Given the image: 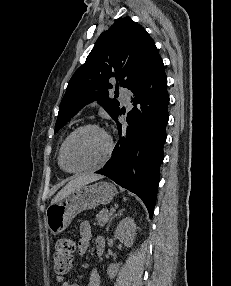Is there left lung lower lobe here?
<instances>
[{"label": "left lung lower lobe", "mask_w": 231, "mask_h": 286, "mask_svg": "<svg viewBox=\"0 0 231 286\" xmlns=\"http://www.w3.org/2000/svg\"><path fill=\"white\" fill-rule=\"evenodd\" d=\"M128 89L134 94L131 99L134 107L126 119L128 126L124 128L118 122V116L122 113L119 111L114 120L120 140L111 159L96 173L109 177L138 195L151 218L169 119L167 77L162 59L156 60Z\"/></svg>", "instance_id": "obj_1"}]
</instances>
